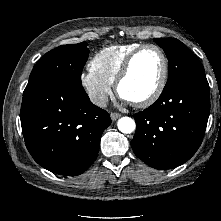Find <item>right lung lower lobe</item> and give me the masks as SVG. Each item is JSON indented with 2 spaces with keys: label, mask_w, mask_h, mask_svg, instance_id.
I'll list each match as a JSON object with an SVG mask.
<instances>
[{
  "label": "right lung lower lobe",
  "mask_w": 221,
  "mask_h": 221,
  "mask_svg": "<svg viewBox=\"0 0 221 221\" xmlns=\"http://www.w3.org/2000/svg\"><path fill=\"white\" fill-rule=\"evenodd\" d=\"M109 114L95 106L82 86L28 82L21 106L26 147L45 169L77 176L97 158Z\"/></svg>",
  "instance_id": "1"
}]
</instances>
